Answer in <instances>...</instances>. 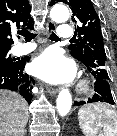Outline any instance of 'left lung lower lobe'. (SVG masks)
Returning <instances> with one entry per match:
<instances>
[{
    "mask_svg": "<svg viewBox=\"0 0 117 136\" xmlns=\"http://www.w3.org/2000/svg\"><path fill=\"white\" fill-rule=\"evenodd\" d=\"M95 79V94L92 98H89L87 103H92V102H106L109 104H114V100L112 97L111 89H110V82L102 77L94 76ZM86 102L80 101V102H75L74 106H79L83 105Z\"/></svg>",
    "mask_w": 117,
    "mask_h": 136,
    "instance_id": "0a47b994",
    "label": "left lung lower lobe"
}]
</instances>
